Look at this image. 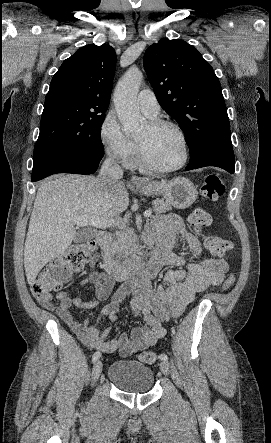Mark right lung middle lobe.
Listing matches in <instances>:
<instances>
[{
  "instance_id": "1",
  "label": "right lung middle lobe",
  "mask_w": 271,
  "mask_h": 443,
  "mask_svg": "<svg viewBox=\"0 0 271 443\" xmlns=\"http://www.w3.org/2000/svg\"><path fill=\"white\" fill-rule=\"evenodd\" d=\"M107 109H96L72 101L44 104L40 134L33 158L54 148L81 151L97 150L104 154L100 129Z\"/></svg>"
}]
</instances>
